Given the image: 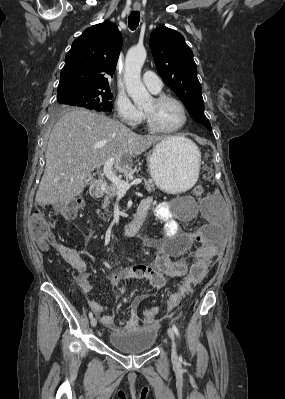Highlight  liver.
I'll list each match as a JSON object with an SVG mask.
<instances>
[{
  "instance_id": "obj_1",
  "label": "liver",
  "mask_w": 285,
  "mask_h": 399,
  "mask_svg": "<svg viewBox=\"0 0 285 399\" xmlns=\"http://www.w3.org/2000/svg\"><path fill=\"white\" fill-rule=\"evenodd\" d=\"M172 138L138 135L117 120L89 110L69 111L50 134L35 201L41 206L68 202L83 193L91 172L107 160L114 159L117 172H128L132 157Z\"/></svg>"
}]
</instances>
